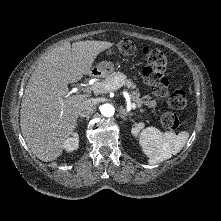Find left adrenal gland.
<instances>
[{
	"label": "left adrenal gland",
	"mask_w": 221,
	"mask_h": 221,
	"mask_svg": "<svg viewBox=\"0 0 221 221\" xmlns=\"http://www.w3.org/2000/svg\"><path fill=\"white\" fill-rule=\"evenodd\" d=\"M119 113H120L121 118L124 121L126 120L127 116H129V117L132 116V113L131 112H127L122 106L120 107Z\"/></svg>",
	"instance_id": "a2214340"
}]
</instances>
